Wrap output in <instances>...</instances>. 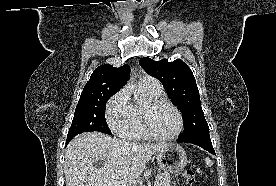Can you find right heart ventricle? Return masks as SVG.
<instances>
[{"label": "right heart ventricle", "mask_w": 276, "mask_h": 186, "mask_svg": "<svg viewBox=\"0 0 276 186\" xmlns=\"http://www.w3.org/2000/svg\"><path fill=\"white\" fill-rule=\"evenodd\" d=\"M141 88L143 92L147 95L149 101L153 99L161 98V90L152 89L144 85L143 83H141ZM131 108L134 116L133 125L128 131L122 133L121 135L123 137L134 139V140L148 139L149 136L147 135L144 129L143 121H142L144 105H141L139 103H134V104H131Z\"/></svg>", "instance_id": "right-heart-ventricle-1"}]
</instances>
